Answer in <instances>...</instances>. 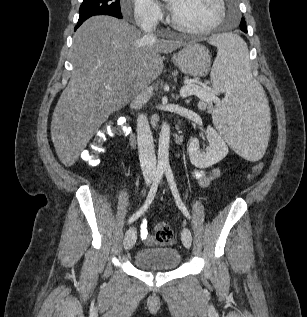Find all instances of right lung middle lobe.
Returning <instances> with one entry per match:
<instances>
[{"mask_svg": "<svg viewBox=\"0 0 307 317\" xmlns=\"http://www.w3.org/2000/svg\"><path fill=\"white\" fill-rule=\"evenodd\" d=\"M79 13V21L94 15H110L122 18L120 0H84Z\"/></svg>", "mask_w": 307, "mask_h": 317, "instance_id": "obj_1", "label": "right lung middle lobe"}]
</instances>
